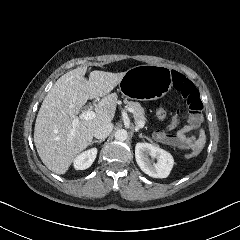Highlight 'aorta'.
I'll list each match as a JSON object with an SVG mask.
<instances>
[{
  "instance_id": "1",
  "label": "aorta",
  "mask_w": 240,
  "mask_h": 240,
  "mask_svg": "<svg viewBox=\"0 0 240 240\" xmlns=\"http://www.w3.org/2000/svg\"><path fill=\"white\" fill-rule=\"evenodd\" d=\"M115 138L116 140L118 141H125L127 138H128V132L126 129H118L116 132H115Z\"/></svg>"
}]
</instances>
